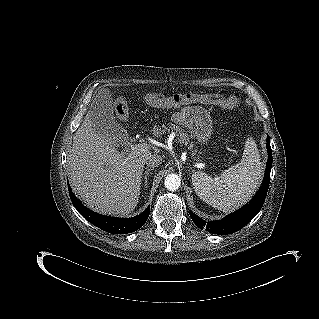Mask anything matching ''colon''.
I'll use <instances>...</instances> for the list:
<instances>
[{"label": "colon", "mask_w": 319, "mask_h": 319, "mask_svg": "<svg viewBox=\"0 0 319 319\" xmlns=\"http://www.w3.org/2000/svg\"><path fill=\"white\" fill-rule=\"evenodd\" d=\"M146 102L150 105L157 107H171L183 103L189 102H207L209 100H216L220 105L224 107L233 106V102L226 100L221 94H197L194 92L176 93L172 95H166L160 91H150L144 96ZM116 113L118 116L125 117L127 115V104L124 99L117 100L115 105Z\"/></svg>", "instance_id": "colon-1"}]
</instances>
